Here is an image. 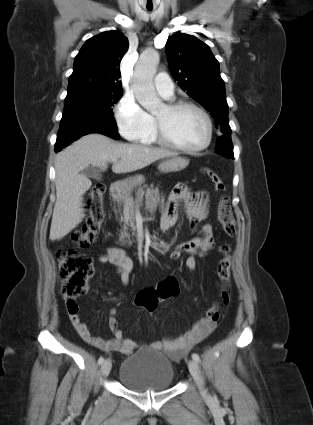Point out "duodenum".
Instances as JSON below:
<instances>
[{
  "mask_svg": "<svg viewBox=\"0 0 313 425\" xmlns=\"http://www.w3.org/2000/svg\"><path fill=\"white\" fill-rule=\"evenodd\" d=\"M120 186L118 183H112L109 188L110 196L112 200H115L119 194Z\"/></svg>",
  "mask_w": 313,
  "mask_h": 425,
  "instance_id": "410a0bca",
  "label": "duodenum"
}]
</instances>
